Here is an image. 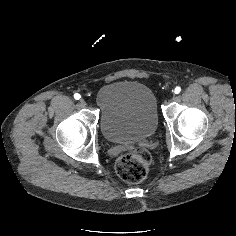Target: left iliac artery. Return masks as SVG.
Instances as JSON below:
<instances>
[{
	"label": "left iliac artery",
	"instance_id": "obj_1",
	"mask_svg": "<svg viewBox=\"0 0 236 236\" xmlns=\"http://www.w3.org/2000/svg\"><path fill=\"white\" fill-rule=\"evenodd\" d=\"M181 91V88L179 86H177L175 89H174V93L175 94H179Z\"/></svg>",
	"mask_w": 236,
	"mask_h": 236
}]
</instances>
